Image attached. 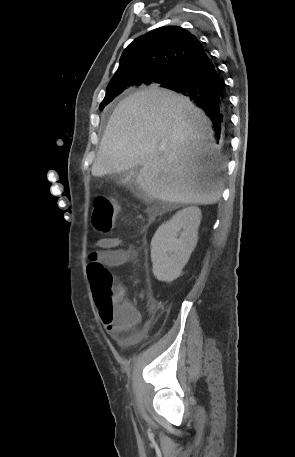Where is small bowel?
<instances>
[{
    "instance_id": "obj_1",
    "label": "small bowel",
    "mask_w": 295,
    "mask_h": 457,
    "mask_svg": "<svg viewBox=\"0 0 295 457\" xmlns=\"http://www.w3.org/2000/svg\"><path fill=\"white\" fill-rule=\"evenodd\" d=\"M97 249L89 254L91 261H97L109 267H118L130 262L136 256L135 249L117 237H106L100 239ZM102 320V319H101ZM140 321L138 311L126 301V311L118 318L110 321L102 320V323L113 337L126 338L125 333Z\"/></svg>"
}]
</instances>
